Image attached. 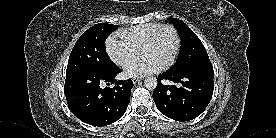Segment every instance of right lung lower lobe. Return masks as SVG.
<instances>
[{
    "label": "right lung lower lobe",
    "mask_w": 276,
    "mask_h": 138,
    "mask_svg": "<svg viewBox=\"0 0 276 138\" xmlns=\"http://www.w3.org/2000/svg\"><path fill=\"white\" fill-rule=\"evenodd\" d=\"M121 72L116 65L108 71L83 70L66 76L64 92L68 107L81 121L92 126H106L122 117L130 102L131 79L116 81ZM115 83L114 87L102 88Z\"/></svg>",
    "instance_id": "right-lung-lower-lobe-1"
}]
</instances>
